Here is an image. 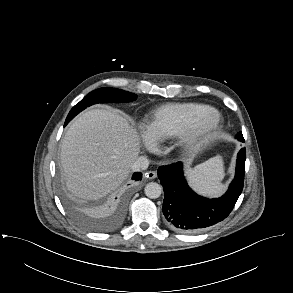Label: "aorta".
I'll use <instances>...</instances> for the list:
<instances>
[{"label": "aorta", "instance_id": "762f6f07", "mask_svg": "<svg viewBox=\"0 0 293 293\" xmlns=\"http://www.w3.org/2000/svg\"><path fill=\"white\" fill-rule=\"evenodd\" d=\"M144 192L148 198L156 199L161 196L162 187L156 182H150L145 186Z\"/></svg>", "mask_w": 293, "mask_h": 293}]
</instances>
